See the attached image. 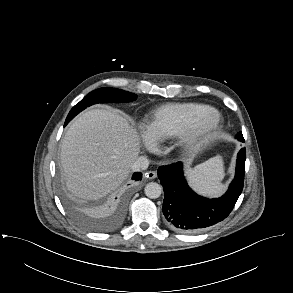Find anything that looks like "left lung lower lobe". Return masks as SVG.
Wrapping results in <instances>:
<instances>
[{"label": "left lung lower lobe", "mask_w": 293, "mask_h": 293, "mask_svg": "<svg viewBox=\"0 0 293 293\" xmlns=\"http://www.w3.org/2000/svg\"><path fill=\"white\" fill-rule=\"evenodd\" d=\"M245 159L246 149L242 148L228 191L216 199H208L192 191L184 178L181 162L159 167L158 177L164 190L162 211L168 224L181 233H196L224 220L243 190Z\"/></svg>", "instance_id": "left-lung-lower-lobe-1"}]
</instances>
